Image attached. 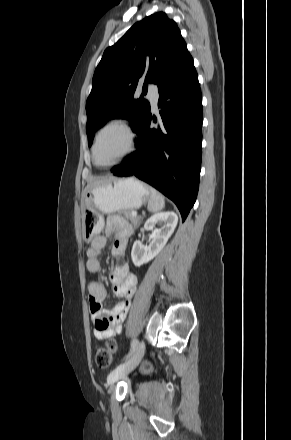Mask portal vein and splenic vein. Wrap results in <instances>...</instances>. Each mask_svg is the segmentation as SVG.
I'll use <instances>...</instances> for the list:
<instances>
[{
  "label": "portal vein and splenic vein",
  "instance_id": "18ae733b",
  "mask_svg": "<svg viewBox=\"0 0 291 440\" xmlns=\"http://www.w3.org/2000/svg\"><path fill=\"white\" fill-rule=\"evenodd\" d=\"M131 214H132L133 217H137V212L136 211H132Z\"/></svg>",
  "mask_w": 291,
  "mask_h": 440
}]
</instances>
